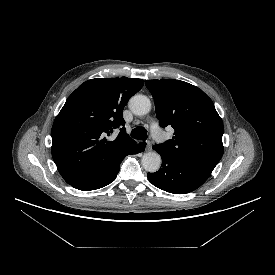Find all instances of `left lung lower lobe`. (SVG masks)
Returning a JSON list of instances; mask_svg holds the SVG:
<instances>
[{
    "instance_id": "0a47b994",
    "label": "left lung lower lobe",
    "mask_w": 275,
    "mask_h": 275,
    "mask_svg": "<svg viewBox=\"0 0 275 275\" xmlns=\"http://www.w3.org/2000/svg\"><path fill=\"white\" fill-rule=\"evenodd\" d=\"M162 158L161 168L148 173L149 181L156 187L173 194H185L199 188L209 176L170 156L165 150L153 146Z\"/></svg>"
}]
</instances>
